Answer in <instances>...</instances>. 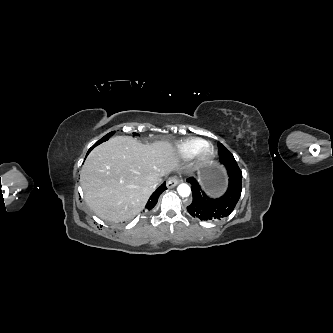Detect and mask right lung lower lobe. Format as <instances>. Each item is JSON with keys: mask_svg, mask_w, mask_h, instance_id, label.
Returning a JSON list of instances; mask_svg holds the SVG:
<instances>
[{"mask_svg": "<svg viewBox=\"0 0 333 333\" xmlns=\"http://www.w3.org/2000/svg\"><path fill=\"white\" fill-rule=\"evenodd\" d=\"M99 142H96L88 151V153L95 147L98 145ZM87 153V155H88ZM166 189V186H165V183L162 184L152 195L151 197L149 198L146 206H145V209L146 210H151L157 203L158 201V198L160 196V194Z\"/></svg>", "mask_w": 333, "mask_h": 333, "instance_id": "1", "label": "right lung lower lobe"}]
</instances>
